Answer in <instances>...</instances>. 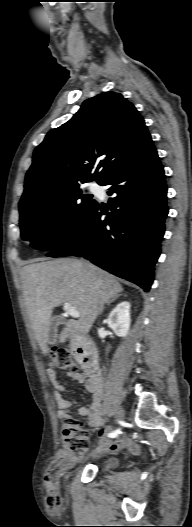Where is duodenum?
Masks as SVG:
<instances>
[{
  "label": "duodenum",
  "instance_id": "obj_1",
  "mask_svg": "<svg viewBox=\"0 0 192 527\" xmlns=\"http://www.w3.org/2000/svg\"><path fill=\"white\" fill-rule=\"evenodd\" d=\"M73 350L85 371L89 374L99 375L98 355L94 342L84 336L75 335Z\"/></svg>",
  "mask_w": 192,
  "mask_h": 527
}]
</instances>
